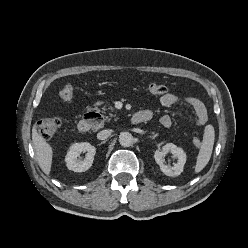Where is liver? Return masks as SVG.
Listing matches in <instances>:
<instances>
[{
  "mask_svg": "<svg viewBox=\"0 0 248 248\" xmlns=\"http://www.w3.org/2000/svg\"><path fill=\"white\" fill-rule=\"evenodd\" d=\"M32 142L38 165L46 175H49L52 165L53 150L43 136L37 132L36 125H34L32 129Z\"/></svg>",
  "mask_w": 248,
  "mask_h": 248,
  "instance_id": "6515ba94",
  "label": "liver"
}]
</instances>
